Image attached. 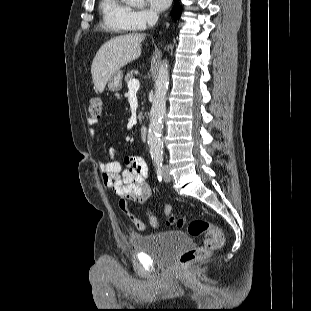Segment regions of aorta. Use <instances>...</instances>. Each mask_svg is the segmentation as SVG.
<instances>
[{
    "label": "aorta",
    "instance_id": "762f6f07",
    "mask_svg": "<svg viewBox=\"0 0 311 311\" xmlns=\"http://www.w3.org/2000/svg\"><path fill=\"white\" fill-rule=\"evenodd\" d=\"M128 5L142 6L144 0H123ZM169 86V70L167 62L159 67L158 77L155 82V95L149 115V127L147 142L152 158L161 159L163 155V123L162 119L166 112V93Z\"/></svg>",
    "mask_w": 311,
    "mask_h": 311
}]
</instances>
